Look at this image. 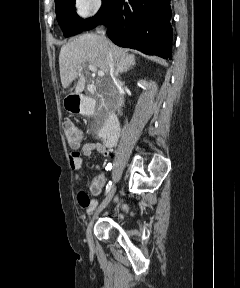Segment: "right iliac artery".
<instances>
[{"mask_svg":"<svg viewBox=\"0 0 240 288\" xmlns=\"http://www.w3.org/2000/svg\"><path fill=\"white\" fill-rule=\"evenodd\" d=\"M106 168H107V170H108V169L111 170L112 165H111V164H108V166H107ZM111 187H112V181H109V183H108L107 186H106L105 194H107V193L110 191Z\"/></svg>","mask_w":240,"mask_h":288,"instance_id":"82829eb1","label":"right iliac artery"}]
</instances>
